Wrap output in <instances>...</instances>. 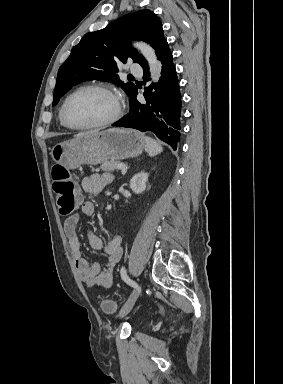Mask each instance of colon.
<instances>
[{"label": "colon", "instance_id": "colon-1", "mask_svg": "<svg viewBox=\"0 0 283 384\" xmlns=\"http://www.w3.org/2000/svg\"><path fill=\"white\" fill-rule=\"evenodd\" d=\"M52 180L59 212L62 215L72 214L79 204V196L70 173L64 167L55 165L52 168ZM101 308L105 313H113L116 309L110 299L102 300Z\"/></svg>", "mask_w": 283, "mask_h": 384}]
</instances>
